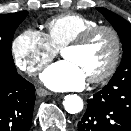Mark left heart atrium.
<instances>
[{
  "instance_id": "1",
  "label": "left heart atrium",
  "mask_w": 131,
  "mask_h": 131,
  "mask_svg": "<svg viewBox=\"0 0 131 131\" xmlns=\"http://www.w3.org/2000/svg\"><path fill=\"white\" fill-rule=\"evenodd\" d=\"M40 79L46 86L56 91L82 89L87 80L81 68L67 59L48 66L40 75Z\"/></svg>"
}]
</instances>
